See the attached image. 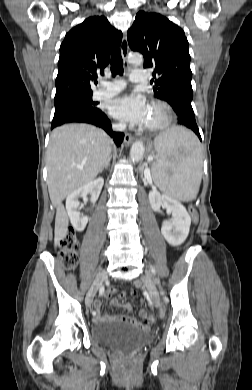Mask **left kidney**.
<instances>
[{
	"label": "left kidney",
	"instance_id": "obj_1",
	"mask_svg": "<svg viewBox=\"0 0 252 390\" xmlns=\"http://www.w3.org/2000/svg\"><path fill=\"white\" fill-rule=\"evenodd\" d=\"M149 201L155 212L160 211L161 206L172 212L173 219L163 221L161 233L170 245H181L186 240L191 225V218L185 207L178 200L160 194L154 188L149 192Z\"/></svg>",
	"mask_w": 252,
	"mask_h": 390
}]
</instances>
